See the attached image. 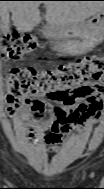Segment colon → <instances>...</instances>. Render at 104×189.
<instances>
[{
  "label": "colon",
  "instance_id": "obj_1",
  "mask_svg": "<svg viewBox=\"0 0 104 189\" xmlns=\"http://www.w3.org/2000/svg\"><path fill=\"white\" fill-rule=\"evenodd\" d=\"M35 42L17 30H11L2 39L1 56L7 61H17L30 54ZM5 102L25 103L37 97L59 99L73 90L93 85L97 96L103 92L104 59L87 56L51 69L15 67L5 76Z\"/></svg>",
  "mask_w": 104,
  "mask_h": 189
}]
</instances>
